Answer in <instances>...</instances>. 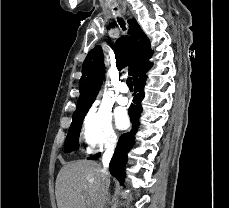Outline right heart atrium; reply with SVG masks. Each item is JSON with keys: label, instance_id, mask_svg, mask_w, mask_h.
I'll return each instance as SVG.
<instances>
[{"label": "right heart atrium", "instance_id": "right-heart-atrium-1", "mask_svg": "<svg viewBox=\"0 0 229 208\" xmlns=\"http://www.w3.org/2000/svg\"><path fill=\"white\" fill-rule=\"evenodd\" d=\"M81 138L89 152L115 146L118 137L110 113L100 106H92L81 127Z\"/></svg>", "mask_w": 229, "mask_h": 208}]
</instances>
